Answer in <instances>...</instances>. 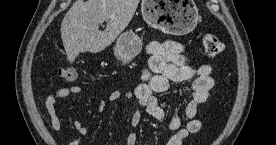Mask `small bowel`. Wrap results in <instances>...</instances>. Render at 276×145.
I'll list each match as a JSON object with an SVG mask.
<instances>
[{"label": "small bowel", "instance_id": "c3829d8e", "mask_svg": "<svg viewBox=\"0 0 276 145\" xmlns=\"http://www.w3.org/2000/svg\"><path fill=\"white\" fill-rule=\"evenodd\" d=\"M148 59L142 70V82L133 91L122 92L113 90L108 96V101L114 102L122 97L133 101L135 111L131 117L132 127H137L145 115L156 122L163 124L173 134L168 138L166 145H182L190 134L201 129V121L197 118L199 108L204 105L211 91L215 87L212 77V67L208 64L192 66L185 55V47L176 41H152L147 46ZM193 80L190 88L180 91V95L190 94V101L184 108L183 115L174 114L167 118L156 94L166 92L171 83ZM80 87L76 85L59 88L55 93L46 97L44 106L50 117L52 131L61 129V119L57 113V101L70 95L79 94ZM107 102L100 101L98 109H106ZM185 125L182 126V120ZM74 127L80 136L88 134L87 126L81 120L74 121ZM70 145H80V138L75 139ZM124 145H137V134L131 132Z\"/></svg>", "mask_w": 276, "mask_h": 145}]
</instances>
